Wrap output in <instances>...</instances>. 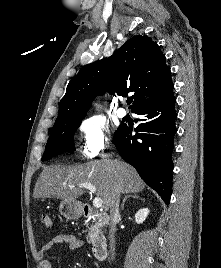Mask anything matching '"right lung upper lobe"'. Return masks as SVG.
I'll use <instances>...</instances> for the list:
<instances>
[{
  "label": "right lung upper lobe",
  "instance_id": "right-lung-upper-lobe-1",
  "mask_svg": "<svg viewBox=\"0 0 221 268\" xmlns=\"http://www.w3.org/2000/svg\"><path fill=\"white\" fill-rule=\"evenodd\" d=\"M172 90L170 69L159 46L149 37L134 36L111 57L88 64L78 72L60 101L56 122L85 117L94 98L106 91L122 96L133 92V111Z\"/></svg>",
  "mask_w": 221,
  "mask_h": 268
}]
</instances>
